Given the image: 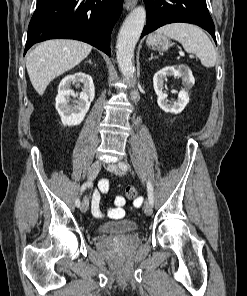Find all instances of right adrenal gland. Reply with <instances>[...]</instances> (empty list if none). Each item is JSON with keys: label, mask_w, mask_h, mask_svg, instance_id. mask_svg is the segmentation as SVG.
Masks as SVG:
<instances>
[{"label": "right adrenal gland", "mask_w": 247, "mask_h": 296, "mask_svg": "<svg viewBox=\"0 0 247 296\" xmlns=\"http://www.w3.org/2000/svg\"><path fill=\"white\" fill-rule=\"evenodd\" d=\"M88 62H89L90 64H92V61H91V60H89Z\"/></svg>", "instance_id": "1"}]
</instances>
